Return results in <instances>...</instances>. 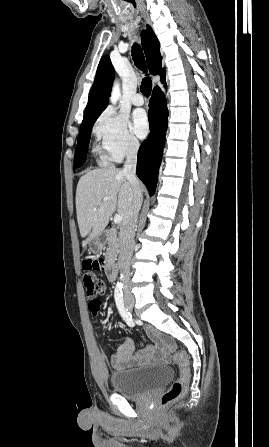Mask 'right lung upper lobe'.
<instances>
[{
  "mask_svg": "<svg viewBox=\"0 0 269 447\" xmlns=\"http://www.w3.org/2000/svg\"><path fill=\"white\" fill-rule=\"evenodd\" d=\"M141 42L150 73L152 75H165V70L161 67L159 41L150 26H147V29L141 33ZM114 74L115 70L109 56H103L97 68L81 127L95 122L107 107Z\"/></svg>",
  "mask_w": 269,
  "mask_h": 447,
  "instance_id": "right-lung-upper-lobe-1",
  "label": "right lung upper lobe"
}]
</instances>
